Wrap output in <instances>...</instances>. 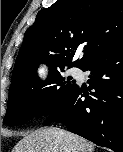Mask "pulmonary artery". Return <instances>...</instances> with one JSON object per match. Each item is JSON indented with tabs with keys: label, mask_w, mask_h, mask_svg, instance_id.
<instances>
[{
	"label": "pulmonary artery",
	"mask_w": 123,
	"mask_h": 152,
	"mask_svg": "<svg viewBox=\"0 0 123 152\" xmlns=\"http://www.w3.org/2000/svg\"><path fill=\"white\" fill-rule=\"evenodd\" d=\"M70 73H71L73 76H79L80 71H79V69H77V68H73V69H71Z\"/></svg>",
	"instance_id": "e3ab8cb5"
}]
</instances>
